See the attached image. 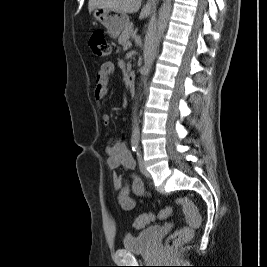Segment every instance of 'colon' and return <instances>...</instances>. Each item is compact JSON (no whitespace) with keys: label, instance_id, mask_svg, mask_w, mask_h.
Masks as SVG:
<instances>
[{"label":"colon","instance_id":"colon-1","mask_svg":"<svg viewBox=\"0 0 267 267\" xmlns=\"http://www.w3.org/2000/svg\"><path fill=\"white\" fill-rule=\"evenodd\" d=\"M89 46L93 53L99 57L108 56L111 52L109 43L106 41L102 32H94L89 39ZM175 204L183 210L186 219V225L174 231L168 236L166 245L169 248L175 247L181 243L190 240L193 232L201 224V215L198 208L188 197H179L175 200ZM172 213V207L168 206L158 213H144L134 220V227L143 228L156 219H165Z\"/></svg>","mask_w":267,"mask_h":267}]
</instances>
